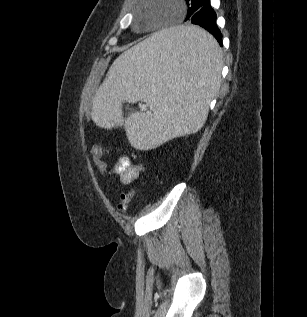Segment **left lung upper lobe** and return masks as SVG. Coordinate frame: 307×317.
I'll use <instances>...</instances> for the list:
<instances>
[{"instance_id": "1", "label": "left lung upper lobe", "mask_w": 307, "mask_h": 317, "mask_svg": "<svg viewBox=\"0 0 307 317\" xmlns=\"http://www.w3.org/2000/svg\"><path fill=\"white\" fill-rule=\"evenodd\" d=\"M187 4V17L185 21L189 20L191 15L195 12L196 5L200 0H185Z\"/></svg>"}]
</instances>
